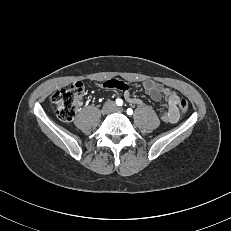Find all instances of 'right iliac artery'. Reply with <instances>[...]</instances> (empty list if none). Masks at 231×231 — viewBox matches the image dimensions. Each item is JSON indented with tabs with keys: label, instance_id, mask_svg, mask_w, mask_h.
<instances>
[{
	"label": "right iliac artery",
	"instance_id": "obj_1",
	"mask_svg": "<svg viewBox=\"0 0 231 231\" xmlns=\"http://www.w3.org/2000/svg\"><path fill=\"white\" fill-rule=\"evenodd\" d=\"M116 104H117L118 106H121V105L123 104L122 99H117V100H116Z\"/></svg>",
	"mask_w": 231,
	"mask_h": 231
}]
</instances>
